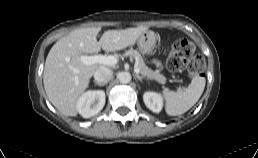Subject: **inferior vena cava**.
Masks as SVG:
<instances>
[{
	"instance_id": "inferior-vena-cava-1",
	"label": "inferior vena cava",
	"mask_w": 258,
	"mask_h": 158,
	"mask_svg": "<svg viewBox=\"0 0 258 158\" xmlns=\"http://www.w3.org/2000/svg\"><path fill=\"white\" fill-rule=\"evenodd\" d=\"M113 71L107 67H100L94 74V79L98 83H107L111 80Z\"/></svg>"
}]
</instances>
